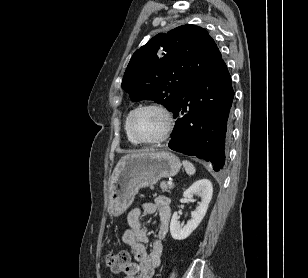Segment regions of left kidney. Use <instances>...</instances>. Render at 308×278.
Returning <instances> with one entry per match:
<instances>
[{
    "mask_svg": "<svg viewBox=\"0 0 308 278\" xmlns=\"http://www.w3.org/2000/svg\"><path fill=\"white\" fill-rule=\"evenodd\" d=\"M212 194V183L208 179L196 181L183 193V197L187 199H192L194 195H197L201 197V202L192 212L191 220L184 226L178 221V213L173 214L170 222V233L173 239L184 240L198 227L207 212Z\"/></svg>",
    "mask_w": 308,
    "mask_h": 278,
    "instance_id": "left-kidney-1",
    "label": "left kidney"
}]
</instances>
